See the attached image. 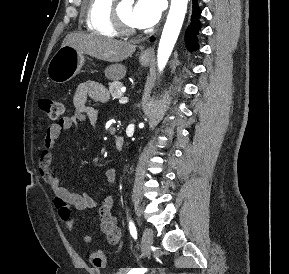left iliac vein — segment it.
Instances as JSON below:
<instances>
[{"label":"left iliac vein","mask_w":289,"mask_h":274,"mask_svg":"<svg viewBox=\"0 0 289 274\" xmlns=\"http://www.w3.org/2000/svg\"><path fill=\"white\" fill-rule=\"evenodd\" d=\"M153 243V231L150 228H145L142 234V255L149 254L151 245Z\"/></svg>","instance_id":"obj_1"}]
</instances>
